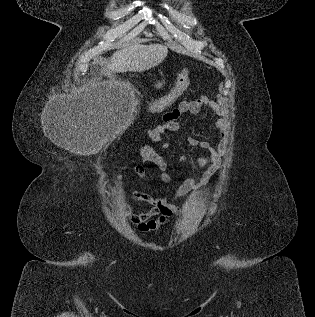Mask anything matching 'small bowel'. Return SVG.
I'll list each match as a JSON object with an SVG mask.
<instances>
[{
  "instance_id": "c3829d8e",
  "label": "small bowel",
  "mask_w": 315,
  "mask_h": 317,
  "mask_svg": "<svg viewBox=\"0 0 315 317\" xmlns=\"http://www.w3.org/2000/svg\"><path fill=\"white\" fill-rule=\"evenodd\" d=\"M203 108L213 110L219 118L212 124L211 131L218 132L220 135V141L216 147H214L209 140L190 137L188 138L189 146L193 148H200L207 150L210 155L207 157L198 156L195 159V163L199 167L208 166L207 170L202 175L199 182L187 178L178 187L175 195L172 198L164 197L158 193L150 194L146 192L137 191L131 195L132 200L143 201L151 206L147 212L143 213H129L127 219L139 232H158L168 222V220L187 208L195 198L197 189L208 183L212 176L217 171L221 157L226 153L228 146V121L225 117V110L215 100H212L206 96L200 97L194 101H183L175 109L165 113L163 115V122L147 131L148 137L161 145L163 149H169L172 147V143L163 137V134L167 131H180L182 125L179 122V118L185 114H198ZM138 155L143 163L152 165L157 171V176L164 183L168 184L172 178V173L169 167L168 160L150 146H141L138 150ZM182 162H187V158L182 156L180 159ZM135 173L142 180H148L146 168L142 165H136L132 168ZM190 194V198L187 204L179 206L176 200Z\"/></svg>"
}]
</instances>
